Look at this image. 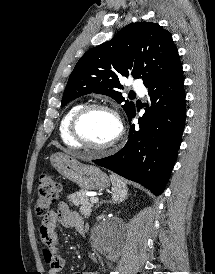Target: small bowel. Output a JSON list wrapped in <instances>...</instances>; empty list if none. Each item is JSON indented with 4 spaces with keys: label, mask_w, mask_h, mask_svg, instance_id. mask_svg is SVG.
<instances>
[{
    "label": "small bowel",
    "mask_w": 215,
    "mask_h": 274,
    "mask_svg": "<svg viewBox=\"0 0 215 274\" xmlns=\"http://www.w3.org/2000/svg\"><path fill=\"white\" fill-rule=\"evenodd\" d=\"M61 223L66 228H74L79 232L84 231V221L75 211H72L65 202L58 205L57 211L50 212L41 222L39 234L44 245L43 253L49 265L48 274H58L65 266L64 258L58 252V237L56 226ZM80 274H99L96 271H85Z\"/></svg>",
    "instance_id": "obj_1"
}]
</instances>
